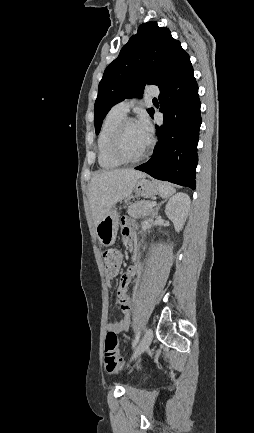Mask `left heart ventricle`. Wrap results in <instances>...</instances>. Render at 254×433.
Here are the masks:
<instances>
[{
  "label": "left heart ventricle",
  "mask_w": 254,
  "mask_h": 433,
  "mask_svg": "<svg viewBox=\"0 0 254 433\" xmlns=\"http://www.w3.org/2000/svg\"><path fill=\"white\" fill-rule=\"evenodd\" d=\"M148 140L149 137L140 130L136 121L130 122L122 133V151L128 157H136L146 148Z\"/></svg>",
  "instance_id": "left-heart-ventricle-1"
}]
</instances>
